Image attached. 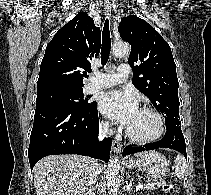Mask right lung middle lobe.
Wrapping results in <instances>:
<instances>
[{
  "mask_svg": "<svg viewBox=\"0 0 211 195\" xmlns=\"http://www.w3.org/2000/svg\"><path fill=\"white\" fill-rule=\"evenodd\" d=\"M80 89H50L37 93L36 107L42 105H58L68 108H86L90 105Z\"/></svg>",
  "mask_w": 211,
  "mask_h": 195,
  "instance_id": "obj_1",
  "label": "right lung middle lobe"
}]
</instances>
